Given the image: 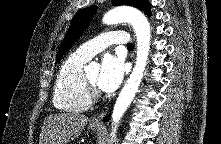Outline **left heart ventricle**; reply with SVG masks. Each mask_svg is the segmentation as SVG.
I'll return each mask as SVG.
<instances>
[{
	"instance_id": "obj_1",
	"label": "left heart ventricle",
	"mask_w": 221,
	"mask_h": 144,
	"mask_svg": "<svg viewBox=\"0 0 221 144\" xmlns=\"http://www.w3.org/2000/svg\"><path fill=\"white\" fill-rule=\"evenodd\" d=\"M88 79L93 83L96 84L98 76H99V72L98 71H92L89 72L88 74H86Z\"/></svg>"
}]
</instances>
